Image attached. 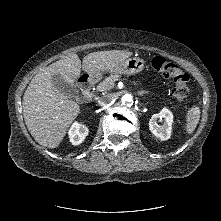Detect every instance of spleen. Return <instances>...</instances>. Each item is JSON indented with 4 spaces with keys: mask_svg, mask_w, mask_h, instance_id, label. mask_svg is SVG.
<instances>
[{
    "mask_svg": "<svg viewBox=\"0 0 221 221\" xmlns=\"http://www.w3.org/2000/svg\"><path fill=\"white\" fill-rule=\"evenodd\" d=\"M186 124H185V131L186 134L191 135L200 119V108L198 106H192L188 109L186 113Z\"/></svg>",
    "mask_w": 221,
    "mask_h": 221,
    "instance_id": "1",
    "label": "spleen"
}]
</instances>
